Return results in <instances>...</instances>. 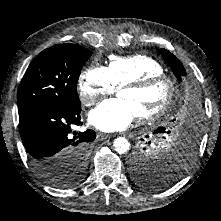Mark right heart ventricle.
I'll use <instances>...</instances> for the list:
<instances>
[{
    "label": "right heart ventricle",
    "mask_w": 221,
    "mask_h": 221,
    "mask_svg": "<svg viewBox=\"0 0 221 221\" xmlns=\"http://www.w3.org/2000/svg\"><path fill=\"white\" fill-rule=\"evenodd\" d=\"M107 70L117 88L148 75L164 73V67L157 60L143 54L112 56Z\"/></svg>",
    "instance_id": "e07e8e85"
}]
</instances>
